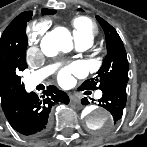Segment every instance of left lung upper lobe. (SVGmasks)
Returning a JSON list of instances; mask_svg holds the SVG:
<instances>
[{
    "instance_id": "left-lung-upper-lobe-1",
    "label": "left lung upper lobe",
    "mask_w": 147,
    "mask_h": 147,
    "mask_svg": "<svg viewBox=\"0 0 147 147\" xmlns=\"http://www.w3.org/2000/svg\"><path fill=\"white\" fill-rule=\"evenodd\" d=\"M102 26L107 46V55L97 76L86 80L80 90H100L110 84L128 82V60L123 42L116 30L104 19L96 16Z\"/></svg>"
}]
</instances>
